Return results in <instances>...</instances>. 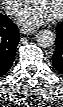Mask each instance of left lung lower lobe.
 <instances>
[{"label": "left lung lower lobe", "mask_w": 63, "mask_h": 107, "mask_svg": "<svg viewBox=\"0 0 63 107\" xmlns=\"http://www.w3.org/2000/svg\"><path fill=\"white\" fill-rule=\"evenodd\" d=\"M54 68L63 74V22L56 28V49L52 56Z\"/></svg>", "instance_id": "obj_1"}]
</instances>
